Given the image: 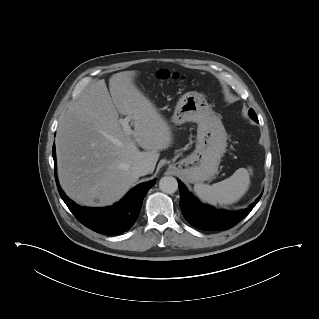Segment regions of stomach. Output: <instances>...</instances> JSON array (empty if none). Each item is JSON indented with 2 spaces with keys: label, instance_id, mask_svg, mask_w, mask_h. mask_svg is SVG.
<instances>
[{
  "label": "stomach",
  "instance_id": "stomach-1",
  "mask_svg": "<svg viewBox=\"0 0 319 319\" xmlns=\"http://www.w3.org/2000/svg\"><path fill=\"white\" fill-rule=\"evenodd\" d=\"M172 122L176 125L195 122L198 128L195 150L169 168L190 183H201L213 178L226 151L227 133L221 118L213 111L205 96L196 91L182 95Z\"/></svg>",
  "mask_w": 319,
  "mask_h": 319
}]
</instances>
